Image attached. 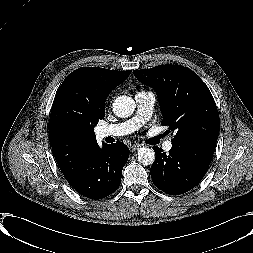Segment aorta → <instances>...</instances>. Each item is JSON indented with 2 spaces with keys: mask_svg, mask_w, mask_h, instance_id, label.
<instances>
[{
  "mask_svg": "<svg viewBox=\"0 0 253 253\" xmlns=\"http://www.w3.org/2000/svg\"><path fill=\"white\" fill-rule=\"evenodd\" d=\"M135 101L126 95L119 96L113 102V112L120 118L131 116L135 110ZM138 161L143 165H151L155 160V152L152 148L142 147L138 150Z\"/></svg>",
  "mask_w": 253,
  "mask_h": 253,
  "instance_id": "obj_1",
  "label": "aorta"
}]
</instances>
